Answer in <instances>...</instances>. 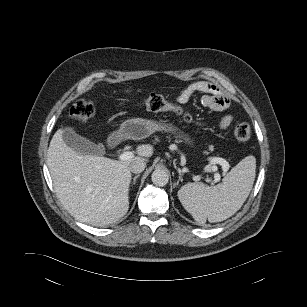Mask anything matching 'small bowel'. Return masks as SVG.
Instances as JSON below:
<instances>
[{"instance_id":"1","label":"small bowel","mask_w":307,"mask_h":307,"mask_svg":"<svg viewBox=\"0 0 307 307\" xmlns=\"http://www.w3.org/2000/svg\"><path fill=\"white\" fill-rule=\"evenodd\" d=\"M195 93L203 94L202 101L205 106L216 111L228 108L229 100L222 94L220 89L208 81H196L183 88L177 95V101L185 104ZM232 121L230 116H225L220 121V128L226 129Z\"/></svg>"}]
</instances>
